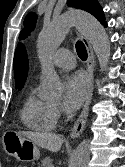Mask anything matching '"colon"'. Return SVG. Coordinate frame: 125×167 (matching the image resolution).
Listing matches in <instances>:
<instances>
[{
	"instance_id": "5ec220e1",
	"label": "colon",
	"mask_w": 125,
	"mask_h": 167,
	"mask_svg": "<svg viewBox=\"0 0 125 167\" xmlns=\"http://www.w3.org/2000/svg\"><path fill=\"white\" fill-rule=\"evenodd\" d=\"M13 167H23V166L20 165V164H17V165H15V166H13Z\"/></svg>"
}]
</instances>
